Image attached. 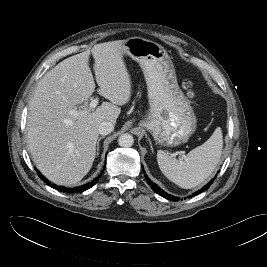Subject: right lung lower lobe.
<instances>
[{
    "label": "right lung lower lobe",
    "instance_id": "1",
    "mask_svg": "<svg viewBox=\"0 0 267 267\" xmlns=\"http://www.w3.org/2000/svg\"><path fill=\"white\" fill-rule=\"evenodd\" d=\"M105 168V166H104ZM37 171V169H36ZM104 169L102 170V172L100 173V175L98 177H96L93 181L81 186V187H76V188H66V187H60V186H56L54 184H51L48 180H46L44 177L41 176L40 172L37 171L39 177L45 182L47 183L49 186H51L52 188H55L59 191H63V192H67V193H77V192H83L89 188H91L100 178V176L102 175Z\"/></svg>",
    "mask_w": 267,
    "mask_h": 267
}]
</instances>
